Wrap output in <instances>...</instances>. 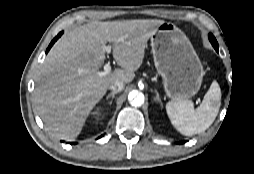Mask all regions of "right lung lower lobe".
<instances>
[{"instance_id":"obj_1","label":"right lung lower lobe","mask_w":254,"mask_h":174,"mask_svg":"<svg viewBox=\"0 0 254 174\" xmlns=\"http://www.w3.org/2000/svg\"><path fill=\"white\" fill-rule=\"evenodd\" d=\"M63 34V32H60L50 43V45L48 46L46 53H48V51L50 50V48L52 47V45L55 43V41ZM70 144H75V143H70Z\"/></svg>"}]
</instances>
